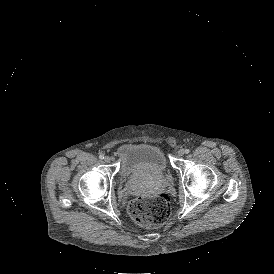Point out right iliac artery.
Segmentation results:
<instances>
[{"label":"right iliac artery","instance_id":"1","mask_svg":"<svg viewBox=\"0 0 274 274\" xmlns=\"http://www.w3.org/2000/svg\"><path fill=\"white\" fill-rule=\"evenodd\" d=\"M99 158H100V159H104V155H103V154H100V155H99Z\"/></svg>","mask_w":274,"mask_h":274}]
</instances>
